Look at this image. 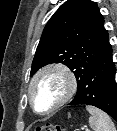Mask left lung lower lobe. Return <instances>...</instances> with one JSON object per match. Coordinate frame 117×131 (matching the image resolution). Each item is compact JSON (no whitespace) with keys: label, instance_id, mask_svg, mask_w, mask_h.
<instances>
[{"label":"left lung lower lobe","instance_id":"0a47b994","mask_svg":"<svg viewBox=\"0 0 117 131\" xmlns=\"http://www.w3.org/2000/svg\"><path fill=\"white\" fill-rule=\"evenodd\" d=\"M111 46L92 66L69 105L87 104L100 108L117 121V84Z\"/></svg>","mask_w":117,"mask_h":131}]
</instances>
